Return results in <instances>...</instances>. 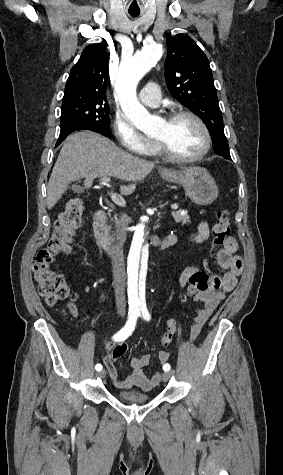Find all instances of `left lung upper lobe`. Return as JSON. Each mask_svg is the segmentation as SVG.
<instances>
[{
    "mask_svg": "<svg viewBox=\"0 0 283 475\" xmlns=\"http://www.w3.org/2000/svg\"><path fill=\"white\" fill-rule=\"evenodd\" d=\"M165 79L172 96L207 125L211 136L224 135L209 61L197 44L184 34L167 38Z\"/></svg>",
    "mask_w": 283,
    "mask_h": 475,
    "instance_id": "left-lung-upper-lobe-1",
    "label": "left lung upper lobe"
}]
</instances>
